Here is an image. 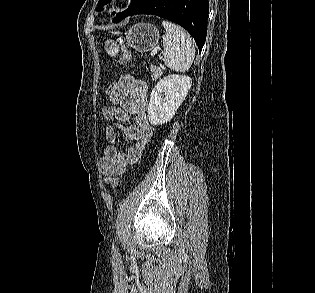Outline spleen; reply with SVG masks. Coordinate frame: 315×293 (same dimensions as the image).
<instances>
[{"mask_svg":"<svg viewBox=\"0 0 315 293\" xmlns=\"http://www.w3.org/2000/svg\"><path fill=\"white\" fill-rule=\"evenodd\" d=\"M166 34L163 40L164 63L173 71H187L195 57L194 42L181 27L169 21H162Z\"/></svg>","mask_w":315,"mask_h":293,"instance_id":"1","label":"spleen"}]
</instances>
